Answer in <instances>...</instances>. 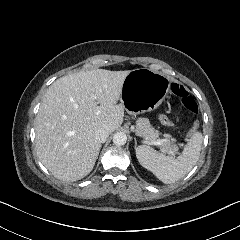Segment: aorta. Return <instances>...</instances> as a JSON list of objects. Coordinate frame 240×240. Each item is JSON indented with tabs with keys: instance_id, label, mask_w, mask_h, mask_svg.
I'll list each match as a JSON object with an SVG mask.
<instances>
[{
	"instance_id": "762f6f07",
	"label": "aorta",
	"mask_w": 240,
	"mask_h": 240,
	"mask_svg": "<svg viewBox=\"0 0 240 240\" xmlns=\"http://www.w3.org/2000/svg\"><path fill=\"white\" fill-rule=\"evenodd\" d=\"M127 142V135L124 132H116L113 136V143L121 146Z\"/></svg>"
}]
</instances>
